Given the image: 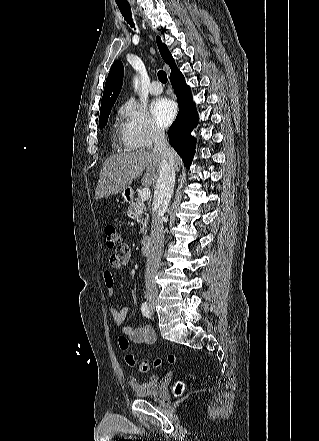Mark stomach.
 Returning a JSON list of instances; mask_svg holds the SVG:
<instances>
[{
	"instance_id": "1",
	"label": "stomach",
	"mask_w": 319,
	"mask_h": 441,
	"mask_svg": "<svg viewBox=\"0 0 319 441\" xmlns=\"http://www.w3.org/2000/svg\"><path fill=\"white\" fill-rule=\"evenodd\" d=\"M127 191H128V190L126 189V190L123 192V194H122L123 197H124V195H126Z\"/></svg>"
}]
</instances>
